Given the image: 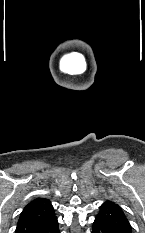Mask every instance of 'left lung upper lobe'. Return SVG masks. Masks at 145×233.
Returning a JSON list of instances; mask_svg holds the SVG:
<instances>
[{"instance_id":"5c2ea615","label":"left lung upper lobe","mask_w":145,"mask_h":233,"mask_svg":"<svg viewBox=\"0 0 145 233\" xmlns=\"http://www.w3.org/2000/svg\"><path fill=\"white\" fill-rule=\"evenodd\" d=\"M95 220L114 233H132V227L122 208L111 201L101 205Z\"/></svg>"}]
</instances>
